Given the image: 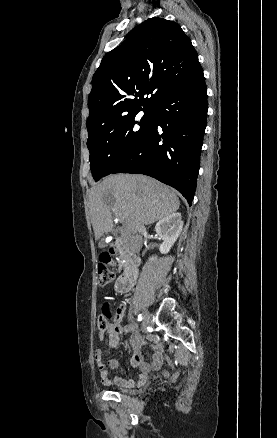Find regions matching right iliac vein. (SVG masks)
Instances as JSON below:
<instances>
[{"label":"right iliac vein","mask_w":277,"mask_h":438,"mask_svg":"<svg viewBox=\"0 0 277 438\" xmlns=\"http://www.w3.org/2000/svg\"><path fill=\"white\" fill-rule=\"evenodd\" d=\"M142 315H143V331H145L147 326H149L151 323V317H150V313L146 309L143 310Z\"/></svg>","instance_id":"1"}]
</instances>
